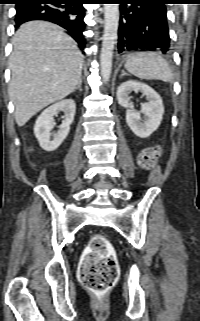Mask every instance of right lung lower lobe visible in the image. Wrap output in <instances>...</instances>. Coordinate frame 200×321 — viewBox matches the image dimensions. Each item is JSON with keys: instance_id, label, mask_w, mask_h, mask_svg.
<instances>
[{"instance_id": "right-lung-lower-lobe-1", "label": "right lung lower lobe", "mask_w": 200, "mask_h": 321, "mask_svg": "<svg viewBox=\"0 0 200 321\" xmlns=\"http://www.w3.org/2000/svg\"><path fill=\"white\" fill-rule=\"evenodd\" d=\"M85 0H21L16 3V27L32 20H46L68 31L80 49L85 47L83 31L85 28Z\"/></svg>"}]
</instances>
